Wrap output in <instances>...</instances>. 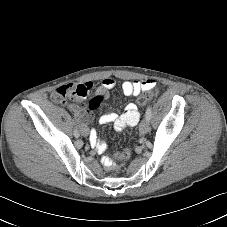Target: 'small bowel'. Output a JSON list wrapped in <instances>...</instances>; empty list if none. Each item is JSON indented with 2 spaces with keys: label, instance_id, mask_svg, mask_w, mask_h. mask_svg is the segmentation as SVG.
<instances>
[{
  "label": "small bowel",
  "instance_id": "small-bowel-1",
  "mask_svg": "<svg viewBox=\"0 0 227 227\" xmlns=\"http://www.w3.org/2000/svg\"><path fill=\"white\" fill-rule=\"evenodd\" d=\"M153 80H144V81H125L122 83V92L126 96H136L141 92H145L151 89L154 85ZM75 85V84H73ZM75 86H79L81 91L77 94H74L68 98L72 99L73 102L67 100V98L63 99H55V92L53 93V99L68 107L72 110L78 119L81 127V131L88 130L90 144L93 148L96 149L98 154L104 155L107 151V144L98 139L97 133L94 129L89 131L87 128V124L91 121V114L88 113L84 108H82L79 103L83 102L87 97L88 93L92 88L91 82H85L82 84H78ZM115 86V80L113 78L107 77L102 80L101 86L98 88L97 92L99 95L108 97V91ZM140 120V112L137 109L136 105L130 103L126 106L125 111L122 114H118L116 112H108L102 115L99 118V124L104 125L108 123H114L116 130H121L126 126H135Z\"/></svg>",
  "mask_w": 227,
  "mask_h": 227
}]
</instances>
